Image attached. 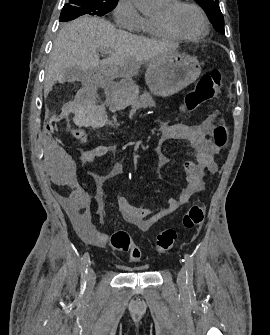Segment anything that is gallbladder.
Here are the masks:
<instances>
[{
    "label": "gallbladder",
    "mask_w": 270,
    "mask_h": 335,
    "mask_svg": "<svg viewBox=\"0 0 270 335\" xmlns=\"http://www.w3.org/2000/svg\"><path fill=\"white\" fill-rule=\"evenodd\" d=\"M85 74L86 72H83L81 68H77V66H73V68H67L66 80H68V82H80V80H82Z\"/></svg>",
    "instance_id": "obj_1"
}]
</instances>
